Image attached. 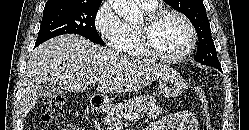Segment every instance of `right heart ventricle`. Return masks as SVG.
<instances>
[{
    "instance_id": "e07e8e85",
    "label": "right heart ventricle",
    "mask_w": 249,
    "mask_h": 130,
    "mask_svg": "<svg viewBox=\"0 0 249 130\" xmlns=\"http://www.w3.org/2000/svg\"><path fill=\"white\" fill-rule=\"evenodd\" d=\"M140 6L147 11L155 9V7H149L142 4H140ZM118 49L133 57H143L147 55L141 42L138 25L124 23L123 34Z\"/></svg>"
}]
</instances>
